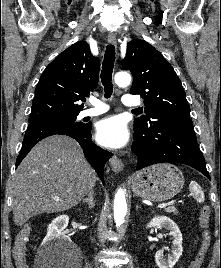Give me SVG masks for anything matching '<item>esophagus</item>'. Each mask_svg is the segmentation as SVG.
<instances>
[{"instance_id":"1","label":"esophagus","mask_w":221,"mask_h":268,"mask_svg":"<svg viewBox=\"0 0 221 268\" xmlns=\"http://www.w3.org/2000/svg\"><path fill=\"white\" fill-rule=\"evenodd\" d=\"M108 42L111 44V45H116L117 44V39H116V36L114 34H109L108 35ZM110 166L112 168V170L115 172V173H119L123 170L124 168V164L123 162L121 161V159H119L116 155H113L111 158H110Z\"/></svg>"}]
</instances>
